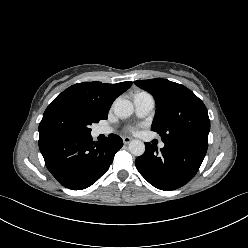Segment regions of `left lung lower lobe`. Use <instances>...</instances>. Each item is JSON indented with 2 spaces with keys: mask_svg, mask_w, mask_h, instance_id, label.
<instances>
[{
  "mask_svg": "<svg viewBox=\"0 0 248 248\" xmlns=\"http://www.w3.org/2000/svg\"><path fill=\"white\" fill-rule=\"evenodd\" d=\"M135 165L139 173L154 187L170 191L188 183L197 173L208 144L199 142L165 143L158 152L150 143Z\"/></svg>",
  "mask_w": 248,
  "mask_h": 248,
  "instance_id": "1",
  "label": "left lung lower lobe"
}]
</instances>
